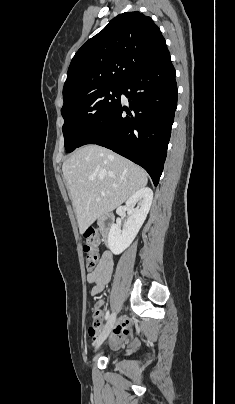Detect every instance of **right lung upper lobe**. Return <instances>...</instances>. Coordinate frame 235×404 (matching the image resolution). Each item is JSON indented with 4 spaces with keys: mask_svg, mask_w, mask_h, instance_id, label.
<instances>
[{
    "mask_svg": "<svg viewBox=\"0 0 235 404\" xmlns=\"http://www.w3.org/2000/svg\"><path fill=\"white\" fill-rule=\"evenodd\" d=\"M169 55L150 17L138 11L122 13L76 52L63 88L64 104L98 89L122 85Z\"/></svg>",
    "mask_w": 235,
    "mask_h": 404,
    "instance_id": "cb5924a9",
    "label": "right lung upper lobe"
}]
</instances>
